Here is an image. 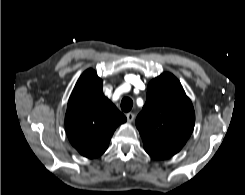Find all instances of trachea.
Returning a JSON list of instances; mask_svg holds the SVG:
<instances>
[{"label":"trachea","mask_w":245,"mask_h":195,"mask_svg":"<svg viewBox=\"0 0 245 195\" xmlns=\"http://www.w3.org/2000/svg\"><path fill=\"white\" fill-rule=\"evenodd\" d=\"M132 106H133V101L131 98L126 97V98L122 99V101H121L122 111L129 112L132 109Z\"/></svg>","instance_id":"3493384b"}]
</instances>
